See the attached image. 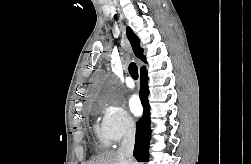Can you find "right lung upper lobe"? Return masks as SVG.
<instances>
[{
  "mask_svg": "<svg viewBox=\"0 0 251 164\" xmlns=\"http://www.w3.org/2000/svg\"><path fill=\"white\" fill-rule=\"evenodd\" d=\"M127 37L128 40L131 43L132 49L136 57L140 58L142 61L146 62L145 56H143V49L140 48V40L139 38L134 34V32L131 30L130 27H127ZM145 68V67H143ZM141 68V69H143Z\"/></svg>",
  "mask_w": 251,
  "mask_h": 164,
  "instance_id": "1",
  "label": "right lung upper lobe"
}]
</instances>
